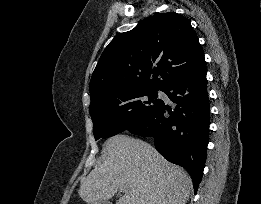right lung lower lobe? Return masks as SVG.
Instances as JSON below:
<instances>
[{"label": "right lung lower lobe", "instance_id": "98d812e1", "mask_svg": "<svg viewBox=\"0 0 261 204\" xmlns=\"http://www.w3.org/2000/svg\"><path fill=\"white\" fill-rule=\"evenodd\" d=\"M206 72L203 58L162 89L177 104L174 111L160 100L142 120L127 129L132 134L153 137L161 155L188 171L195 193L207 155L210 111Z\"/></svg>", "mask_w": 261, "mask_h": 204}]
</instances>
